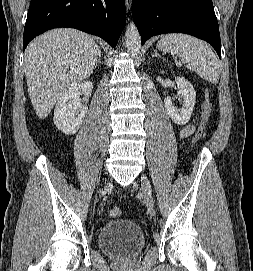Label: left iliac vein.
I'll use <instances>...</instances> for the list:
<instances>
[{
    "label": "left iliac vein",
    "instance_id": "1",
    "mask_svg": "<svg viewBox=\"0 0 253 271\" xmlns=\"http://www.w3.org/2000/svg\"><path fill=\"white\" fill-rule=\"evenodd\" d=\"M141 191L148 212L152 216L154 215V200L152 196V189L148 178L144 174L141 176Z\"/></svg>",
    "mask_w": 253,
    "mask_h": 271
}]
</instances>
